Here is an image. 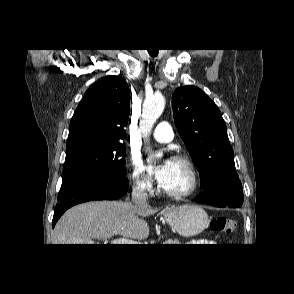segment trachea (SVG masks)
I'll return each instance as SVG.
<instances>
[{"instance_id":"3493384b","label":"trachea","mask_w":294,"mask_h":294,"mask_svg":"<svg viewBox=\"0 0 294 294\" xmlns=\"http://www.w3.org/2000/svg\"><path fill=\"white\" fill-rule=\"evenodd\" d=\"M148 52L152 57H155L158 53V51H154V50H148Z\"/></svg>"}]
</instances>
